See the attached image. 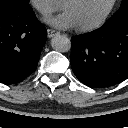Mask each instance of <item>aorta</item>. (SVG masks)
I'll return each instance as SVG.
<instances>
[{"label":"aorta","mask_w":128,"mask_h":128,"mask_svg":"<svg viewBox=\"0 0 128 128\" xmlns=\"http://www.w3.org/2000/svg\"><path fill=\"white\" fill-rule=\"evenodd\" d=\"M51 46L58 52H68L71 48V41L65 35H55L51 39Z\"/></svg>","instance_id":"1"}]
</instances>
